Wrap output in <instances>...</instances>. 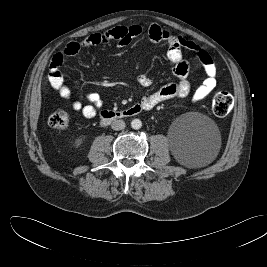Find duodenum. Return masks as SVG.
I'll return each instance as SVG.
<instances>
[{"label": "duodenum", "mask_w": 267, "mask_h": 267, "mask_svg": "<svg viewBox=\"0 0 267 267\" xmlns=\"http://www.w3.org/2000/svg\"><path fill=\"white\" fill-rule=\"evenodd\" d=\"M142 111V107L138 104L132 105L126 109L112 111V110H104L101 112V121L102 122H111L119 119H125L129 117L136 116L140 114Z\"/></svg>", "instance_id": "duodenum-1"}]
</instances>
